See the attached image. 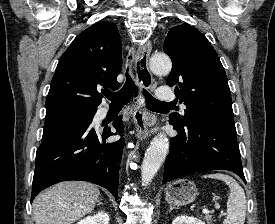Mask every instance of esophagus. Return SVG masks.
<instances>
[{
    "label": "esophagus",
    "mask_w": 275,
    "mask_h": 224,
    "mask_svg": "<svg viewBox=\"0 0 275 224\" xmlns=\"http://www.w3.org/2000/svg\"><path fill=\"white\" fill-rule=\"evenodd\" d=\"M152 50L151 42L140 45L135 56V71L140 89H149L152 85V74L148 67V59ZM145 98L142 93L138 97V109L134 114V124L137 130V138L144 140L148 136V129L156 123L154 118L144 108Z\"/></svg>",
    "instance_id": "1"
}]
</instances>
